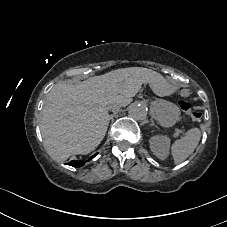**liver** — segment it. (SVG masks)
Instances as JSON below:
<instances>
[{
	"label": "liver",
	"instance_id": "liver-1",
	"mask_svg": "<svg viewBox=\"0 0 227 227\" xmlns=\"http://www.w3.org/2000/svg\"><path fill=\"white\" fill-rule=\"evenodd\" d=\"M151 75L157 76L146 68H123L79 85H55L47 95L40 121L48 154L65 162L72 155L91 153L107 132L111 97L135 96Z\"/></svg>",
	"mask_w": 227,
	"mask_h": 227
}]
</instances>
